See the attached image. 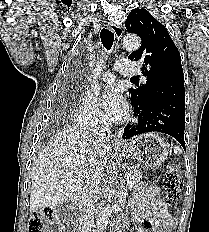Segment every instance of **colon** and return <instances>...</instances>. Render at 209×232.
<instances>
[{"label": "colon", "instance_id": "1", "mask_svg": "<svg viewBox=\"0 0 209 232\" xmlns=\"http://www.w3.org/2000/svg\"><path fill=\"white\" fill-rule=\"evenodd\" d=\"M163 190L167 201L176 202L182 190V177L176 165H170L163 176ZM57 221V212L53 207H45L34 212L28 222V232H48V228Z\"/></svg>", "mask_w": 209, "mask_h": 232}]
</instances>
